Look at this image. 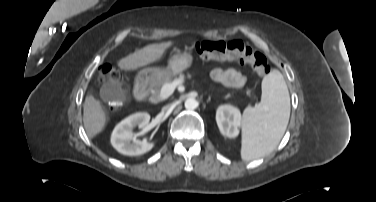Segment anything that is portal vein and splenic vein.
<instances>
[{"mask_svg": "<svg viewBox=\"0 0 376 202\" xmlns=\"http://www.w3.org/2000/svg\"><path fill=\"white\" fill-rule=\"evenodd\" d=\"M184 82V80H174L171 83H166L165 85L162 86L160 95L163 98H168L170 95L173 94L174 90L176 89L177 86L181 85Z\"/></svg>", "mask_w": 376, "mask_h": 202, "instance_id": "obj_1", "label": "portal vein and splenic vein"}]
</instances>
